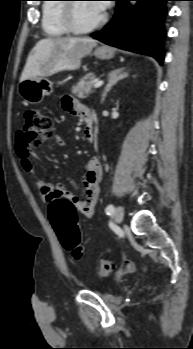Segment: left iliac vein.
<instances>
[{
  "label": "left iliac vein",
  "mask_w": 193,
  "mask_h": 349,
  "mask_svg": "<svg viewBox=\"0 0 193 349\" xmlns=\"http://www.w3.org/2000/svg\"><path fill=\"white\" fill-rule=\"evenodd\" d=\"M115 221L121 223L124 217V210L121 206H118L114 212Z\"/></svg>",
  "instance_id": "left-iliac-vein-1"
}]
</instances>
